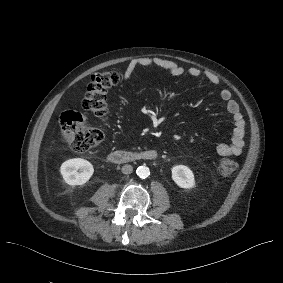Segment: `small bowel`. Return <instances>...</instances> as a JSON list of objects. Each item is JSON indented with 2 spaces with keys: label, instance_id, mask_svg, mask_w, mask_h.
Instances as JSON below:
<instances>
[{
  "label": "small bowel",
  "instance_id": "1",
  "mask_svg": "<svg viewBox=\"0 0 283 283\" xmlns=\"http://www.w3.org/2000/svg\"><path fill=\"white\" fill-rule=\"evenodd\" d=\"M158 67L168 71L174 76H180L185 73V69L178 63L162 57H140L132 59L126 66L124 79L131 77L138 68ZM188 74L192 77H200L202 72L196 67H190ZM203 76L212 84L217 85L219 78L212 73H204ZM220 98L225 103L227 112L232 116L234 129L231 141L228 143H219L216 151L220 156H238L242 153L244 147V137L246 123L240 111L238 103L232 98L229 90L223 89L220 92Z\"/></svg>",
  "mask_w": 283,
  "mask_h": 283
}]
</instances>
